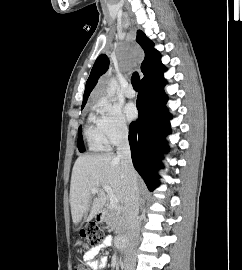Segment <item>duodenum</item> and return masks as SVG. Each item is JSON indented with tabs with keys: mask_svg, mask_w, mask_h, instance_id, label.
I'll return each mask as SVG.
<instances>
[{
	"mask_svg": "<svg viewBox=\"0 0 242 270\" xmlns=\"http://www.w3.org/2000/svg\"><path fill=\"white\" fill-rule=\"evenodd\" d=\"M104 215H105V211H100V212L98 213L97 217H98V219H100V218H103ZM116 244H117V247H118L119 249H122V250L125 249V248H126V245H127V238H126V236H125V235H121V236L118 238Z\"/></svg>",
	"mask_w": 242,
	"mask_h": 270,
	"instance_id": "1",
	"label": "duodenum"
}]
</instances>
